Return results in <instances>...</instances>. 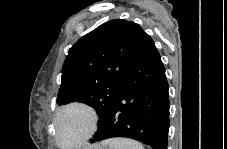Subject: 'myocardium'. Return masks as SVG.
<instances>
[{
  "label": "myocardium",
  "instance_id": "f54148a6",
  "mask_svg": "<svg viewBox=\"0 0 227 149\" xmlns=\"http://www.w3.org/2000/svg\"><path fill=\"white\" fill-rule=\"evenodd\" d=\"M72 110H81L85 112L88 117L89 125H88L87 131L76 142L65 144V143H62L60 140V135H59L60 122L63 116ZM98 122H99L98 114L92 106L78 101L67 103L58 109L54 117L55 143L58 146H65V147L82 146L94 135L98 127Z\"/></svg>",
  "mask_w": 227,
  "mask_h": 149
}]
</instances>
